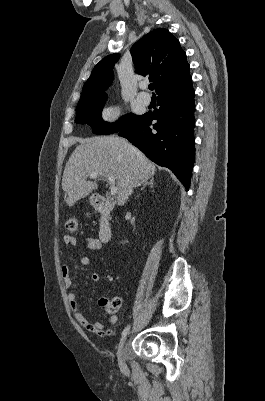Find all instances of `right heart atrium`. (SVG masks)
Returning a JSON list of instances; mask_svg holds the SVG:
<instances>
[{"instance_id": "obj_1", "label": "right heart atrium", "mask_w": 265, "mask_h": 401, "mask_svg": "<svg viewBox=\"0 0 265 401\" xmlns=\"http://www.w3.org/2000/svg\"><path fill=\"white\" fill-rule=\"evenodd\" d=\"M102 117L110 123L117 122L121 117V107L117 104H111L103 108Z\"/></svg>"}]
</instances>
